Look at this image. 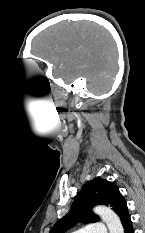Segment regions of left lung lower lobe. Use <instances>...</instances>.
Listing matches in <instances>:
<instances>
[{
    "mask_svg": "<svg viewBox=\"0 0 145 233\" xmlns=\"http://www.w3.org/2000/svg\"><path fill=\"white\" fill-rule=\"evenodd\" d=\"M124 232L125 233H134V229H133V225H132V221H128L126 223V225L124 226Z\"/></svg>",
    "mask_w": 145,
    "mask_h": 233,
    "instance_id": "left-lung-lower-lobe-1",
    "label": "left lung lower lobe"
}]
</instances>
